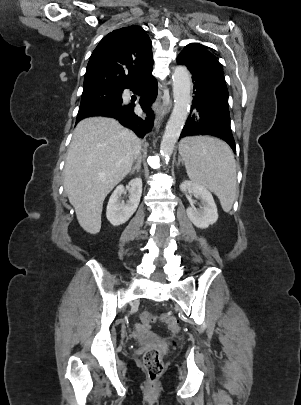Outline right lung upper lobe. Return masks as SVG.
<instances>
[{"label":"right lung upper lobe","mask_w":301,"mask_h":405,"mask_svg":"<svg viewBox=\"0 0 301 405\" xmlns=\"http://www.w3.org/2000/svg\"><path fill=\"white\" fill-rule=\"evenodd\" d=\"M152 67V43L146 31L141 26L123 27L107 34L93 51L83 90L123 91Z\"/></svg>","instance_id":"obj_1"}]
</instances>
